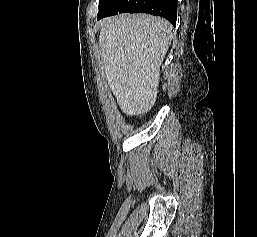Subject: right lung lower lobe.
<instances>
[{
	"instance_id": "obj_1",
	"label": "right lung lower lobe",
	"mask_w": 257,
	"mask_h": 237,
	"mask_svg": "<svg viewBox=\"0 0 257 237\" xmlns=\"http://www.w3.org/2000/svg\"><path fill=\"white\" fill-rule=\"evenodd\" d=\"M149 13L166 18L176 25L177 0H113L99 9L98 19L118 13Z\"/></svg>"
}]
</instances>
